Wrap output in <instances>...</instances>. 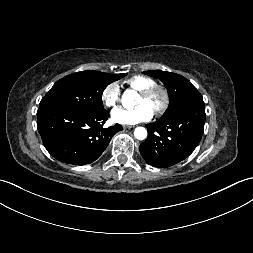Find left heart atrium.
<instances>
[{
	"label": "left heart atrium",
	"instance_id": "obj_1",
	"mask_svg": "<svg viewBox=\"0 0 253 253\" xmlns=\"http://www.w3.org/2000/svg\"><path fill=\"white\" fill-rule=\"evenodd\" d=\"M153 117V110L146 104L134 108H117L112 112L114 122L123 125H134L145 122Z\"/></svg>",
	"mask_w": 253,
	"mask_h": 253
}]
</instances>
